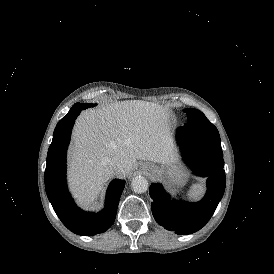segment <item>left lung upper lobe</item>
<instances>
[{"label":"left lung upper lobe","mask_w":274,"mask_h":274,"mask_svg":"<svg viewBox=\"0 0 274 274\" xmlns=\"http://www.w3.org/2000/svg\"><path fill=\"white\" fill-rule=\"evenodd\" d=\"M187 113V123L184 126L200 130H217V128L197 109H184Z\"/></svg>","instance_id":"1"}]
</instances>
